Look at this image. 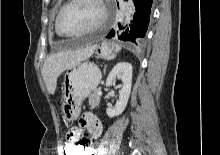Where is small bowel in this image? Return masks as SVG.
<instances>
[{
  "label": "small bowel",
  "instance_id": "obj_1",
  "mask_svg": "<svg viewBox=\"0 0 220 155\" xmlns=\"http://www.w3.org/2000/svg\"><path fill=\"white\" fill-rule=\"evenodd\" d=\"M67 138L69 139H83V131L84 129L88 130L90 135L93 138H98L100 137L102 133V124L100 120L93 114L91 113H86L84 114L80 121H79V126H67ZM65 150V147H64ZM94 149L91 147V151H89V155H93Z\"/></svg>",
  "mask_w": 220,
  "mask_h": 155
}]
</instances>
